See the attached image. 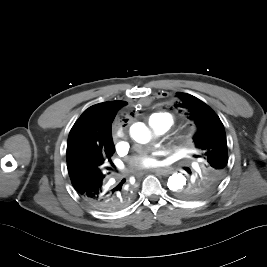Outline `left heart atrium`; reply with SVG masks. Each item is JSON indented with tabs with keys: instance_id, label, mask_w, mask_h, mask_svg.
<instances>
[{
	"instance_id": "obj_1",
	"label": "left heart atrium",
	"mask_w": 267,
	"mask_h": 267,
	"mask_svg": "<svg viewBox=\"0 0 267 267\" xmlns=\"http://www.w3.org/2000/svg\"><path fill=\"white\" fill-rule=\"evenodd\" d=\"M159 165V159L156 153L153 154H144L136 157L133 160V169L136 172L141 170H147Z\"/></svg>"
}]
</instances>
